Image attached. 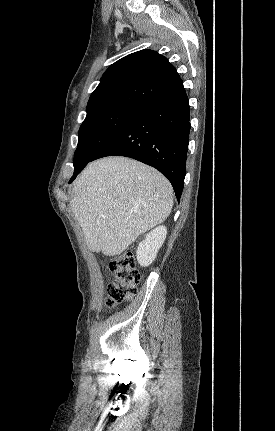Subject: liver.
<instances>
[{"mask_svg":"<svg viewBox=\"0 0 275 431\" xmlns=\"http://www.w3.org/2000/svg\"><path fill=\"white\" fill-rule=\"evenodd\" d=\"M70 205L89 250L115 256L167 219L173 188L152 167L126 157H106L82 171Z\"/></svg>","mask_w":275,"mask_h":431,"instance_id":"liver-1","label":"liver"}]
</instances>
